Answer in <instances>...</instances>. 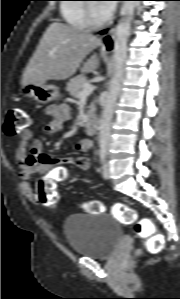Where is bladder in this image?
Returning a JSON list of instances; mask_svg holds the SVG:
<instances>
[{"label": "bladder", "instance_id": "bladder-1", "mask_svg": "<svg viewBox=\"0 0 180 299\" xmlns=\"http://www.w3.org/2000/svg\"><path fill=\"white\" fill-rule=\"evenodd\" d=\"M62 230L75 254L94 259L112 256L122 238L121 227L109 213L70 215Z\"/></svg>", "mask_w": 180, "mask_h": 299}]
</instances>
